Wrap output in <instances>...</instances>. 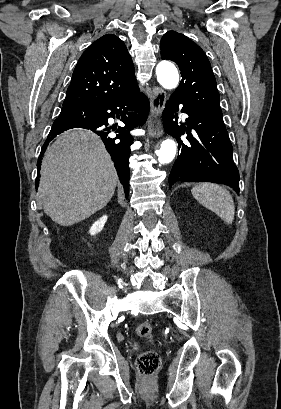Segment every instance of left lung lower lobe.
Returning <instances> with one entry per match:
<instances>
[{"mask_svg": "<svg viewBox=\"0 0 281 409\" xmlns=\"http://www.w3.org/2000/svg\"><path fill=\"white\" fill-rule=\"evenodd\" d=\"M180 103L182 112L188 115L187 127L182 128L173 121ZM162 118L166 131L178 142L179 156L169 176V188L177 181H209L229 185L239 193V172L223 120L204 113L175 94L167 101ZM185 132L187 136L181 140L179 136Z\"/></svg>", "mask_w": 281, "mask_h": 409, "instance_id": "0a47b994", "label": "left lung lower lobe"}]
</instances>
